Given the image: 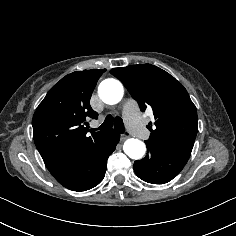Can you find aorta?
<instances>
[{"label":"aorta","instance_id":"762f6f07","mask_svg":"<svg viewBox=\"0 0 236 236\" xmlns=\"http://www.w3.org/2000/svg\"><path fill=\"white\" fill-rule=\"evenodd\" d=\"M98 93L104 103L113 105L121 101L124 89L118 80L109 78L100 83ZM123 150L131 159L139 160L145 155L146 146L141 140L130 138L124 142Z\"/></svg>","mask_w":236,"mask_h":236}]
</instances>
